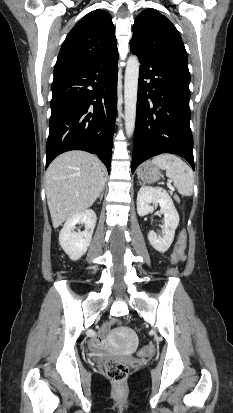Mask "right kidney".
<instances>
[{"label":"right kidney","instance_id":"ca27d5eb","mask_svg":"<svg viewBox=\"0 0 233 413\" xmlns=\"http://www.w3.org/2000/svg\"><path fill=\"white\" fill-rule=\"evenodd\" d=\"M96 220L95 212L92 209H87L75 214L65 222L59 234V242L71 260H78L86 253L92 239ZM80 223L85 225V230L74 232L76 224Z\"/></svg>","mask_w":233,"mask_h":413}]
</instances>
